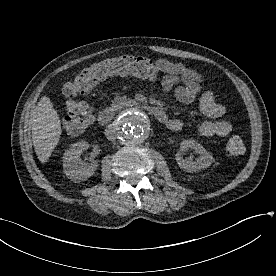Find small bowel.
<instances>
[{"label":"small bowel","instance_id":"obj_1","mask_svg":"<svg viewBox=\"0 0 276 276\" xmlns=\"http://www.w3.org/2000/svg\"><path fill=\"white\" fill-rule=\"evenodd\" d=\"M155 63L158 71L164 74L161 80L162 89L172 93L183 104L193 106L198 101L200 111L209 118L196 126L201 136L224 137L231 132V123L221 119L227 113V108L216 101L213 90H202L203 79L200 74L182 63L166 59H158ZM165 125L172 131H178L183 122L180 119H168Z\"/></svg>","mask_w":276,"mask_h":276}]
</instances>
